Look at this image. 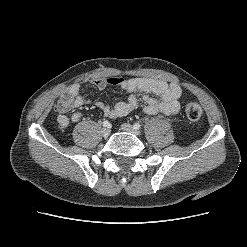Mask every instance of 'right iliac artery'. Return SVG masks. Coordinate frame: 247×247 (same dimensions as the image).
Instances as JSON below:
<instances>
[{"instance_id":"right-iliac-artery-1","label":"right iliac artery","mask_w":247,"mask_h":247,"mask_svg":"<svg viewBox=\"0 0 247 247\" xmlns=\"http://www.w3.org/2000/svg\"><path fill=\"white\" fill-rule=\"evenodd\" d=\"M103 126H104V127H109V126H110L109 121L105 120V121L103 122Z\"/></svg>"}]
</instances>
